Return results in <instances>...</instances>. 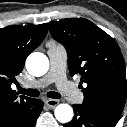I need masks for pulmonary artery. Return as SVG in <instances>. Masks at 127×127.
I'll use <instances>...</instances> for the list:
<instances>
[{"label": "pulmonary artery", "instance_id": "pulmonary-artery-1", "mask_svg": "<svg viewBox=\"0 0 127 127\" xmlns=\"http://www.w3.org/2000/svg\"><path fill=\"white\" fill-rule=\"evenodd\" d=\"M49 71L48 73L33 82L26 83V87L43 88L51 83H55L60 92L69 100L79 101L81 99L80 92L75 86L66 79V52L62 47L48 45Z\"/></svg>", "mask_w": 127, "mask_h": 127}]
</instances>
